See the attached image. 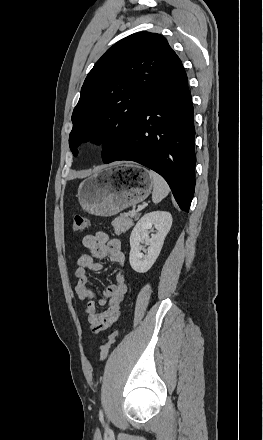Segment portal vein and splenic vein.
I'll list each match as a JSON object with an SVG mask.
<instances>
[{"label":"portal vein and splenic vein","mask_w":263,"mask_h":440,"mask_svg":"<svg viewBox=\"0 0 263 440\" xmlns=\"http://www.w3.org/2000/svg\"><path fill=\"white\" fill-rule=\"evenodd\" d=\"M136 213H137V212H136V209H135V208H133V209H132V211H131V215H132V216H135V215H136Z\"/></svg>","instance_id":"1"}]
</instances>
